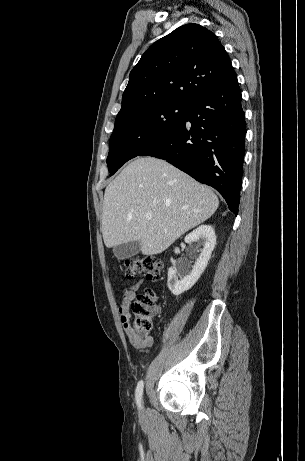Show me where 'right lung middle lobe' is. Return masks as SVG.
I'll list each match as a JSON object with an SVG mask.
<instances>
[{
  "instance_id": "dd1d6c3e",
  "label": "right lung middle lobe",
  "mask_w": 305,
  "mask_h": 461,
  "mask_svg": "<svg viewBox=\"0 0 305 461\" xmlns=\"http://www.w3.org/2000/svg\"><path fill=\"white\" fill-rule=\"evenodd\" d=\"M188 108V103H163L116 121L107 157L110 176L172 133L184 120Z\"/></svg>"
}]
</instances>
